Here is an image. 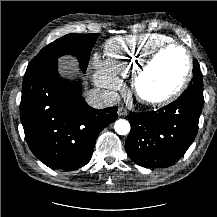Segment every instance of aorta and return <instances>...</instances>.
Wrapping results in <instances>:
<instances>
[{"mask_svg":"<svg viewBox=\"0 0 217 217\" xmlns=\"http://www.w3.org/2000/svg\"><path fill=\"white\" fill-rule=\"evenodd\" d=\"M114 129L119 135H126L130 132V123L125 119H119L114 124Z\"/></svg>","mask_w":217,"mask_h":217,"instance_id":"1","label":"aorta"}]
</instances>
